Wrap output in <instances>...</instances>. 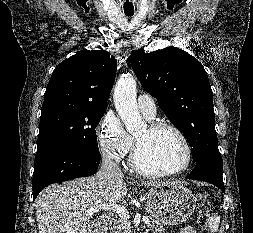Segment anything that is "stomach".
<instances>
[{"label": "stomach", "instance_id": "0dacf381", "mask_svg": "<svg viewBox=\"0 0 253 233\" xmlns=\"http://www.w3.org/2000/svg\"><path fill=\"white\" fill-rule=\"evenodd\" d=\"M196 196L183 184L171 182L152 186L147 194L148 211L164 225L186 221L196 208Z\"/></svg>", "mask_w": 253, "mask_h": 233}]
</instances>
